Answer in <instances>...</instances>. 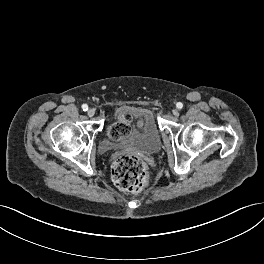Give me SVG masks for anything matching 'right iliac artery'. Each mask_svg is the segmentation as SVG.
I'll use <instances>...</instances> for the list:
<instances>
[{
    "label": "right iliac artery",
    "instance_id": "right-iliac-artery-1",
    "mask_svg": "<svg viewBox=\"0 0 264 264\" xmlns=\"http://www.w3.org/2000/svg\"><path fill=\"white\" fill-rule=\"evenodd\" d=\"M82 109H83V111H87L88 110V105L87 104H83L82 105Z\"/></svg>",
    "mask_w": 264,
    "mask_h": 264
}]
</instances>
